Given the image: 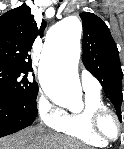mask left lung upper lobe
I'll list each match as a JSON object with an SVG mask.
<instances>
[{
  "label": "left lung upper lobe",
  "instance_id": "1",
  "mask_svg": "<svg viewBox=\"0 0 124 149\" xmlns=\"http://www.w3.org/2000/svg\"><path fill=\"white\" fill-rule=\"evenodd\" d=\"M80 17L83 25V64L100 81L121 121L123 73L116 43L107 25L97 15L83 12Z\"/></svg>",
  "mask_w": 124,
  "mask_h": 149
}]
</instances>
